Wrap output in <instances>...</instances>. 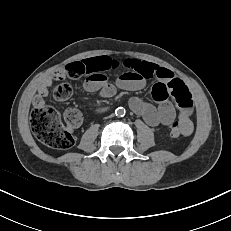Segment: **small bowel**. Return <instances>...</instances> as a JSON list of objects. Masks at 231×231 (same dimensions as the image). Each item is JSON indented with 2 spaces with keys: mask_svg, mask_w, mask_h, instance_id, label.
Returning <instances> with one entry per match:
<instances>
[{
  "mask_svg": "<svg viewBox=\"0 0 231 231\" xmlns=\"http://www.w3.org/2000/svg\"><path fill=\"white\" fill-rule=\"evenodd\" d=\"M76 63L82 66L83 76L86 77L85 90L99 91L103 97H112L117 89L140 90L148 80L155 79L151 94L156 105L133 97L129 101L130 108L150 126H169L178 118L184 135L188 136L193 132L192 95L184 82L176 78L170 70L143 60L118 61L108 56L93 57ZM119 69L122 71L113 81L106 77L107 71ZM66 76L64 68L45 78L37 89L33 100L34 105L45 104L49 87Z\"/></svg>",
  "mask_w": 231,
  "mask_h": 231,
  "instance_id": "small-bowel-1",
  "label": "small bowel"
}]
</instances>
